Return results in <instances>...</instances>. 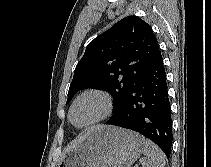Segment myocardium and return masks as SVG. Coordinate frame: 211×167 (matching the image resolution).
I'll list each match as a JSON object with an SVG mask.
<instances>
[{
  "mask_svg": "<svg viewBox=\"0 0 211 167\" xmlns=\"http://www.w3.org/2000/svg\"><path fill=\"white\" fill-rule=\"evenodd\" d=\"M88 96H97L102 100L103 107H104L103 112L100 116H98L94 120H92L84 125H77L72 120L73 109L80 100H82L83 98L88 97ZM112 108H113V102H112V98L108 92H106L105 90L99 89V88H89V89H86L85 91L81 92L73 100V102L69 108L68 118H69V121L71 122V124L74 125L75 127L80 128V129L88 128V127L96 125V124L104 121L105 119H107L112 112Z\"/></svg>",
  "mask_w": 211,
  "mask_h": 167,
  "instance_id": "f54148a6",
  "label": "myocardium"
}]
</instances>
